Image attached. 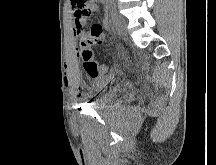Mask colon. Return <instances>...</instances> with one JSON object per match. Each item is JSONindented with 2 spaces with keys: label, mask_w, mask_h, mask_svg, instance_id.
I'll return each instance as SVG.
<instances>
[{
  "label": "colon",
  "mask_w": 216,
  "mask_h": 165,
  "mask_svg": "<svg viewBox=\"0 0 216 165\" xmlns=\"http://www.w3.org/2000/svg\"><path fill=\"white\" fill-rule=\"evenodd\" d=\"M71 2L76 8V5H86L87 0H71ZM103 38V27L101 24L96 23L90 28L87 34V40L81 42L80 46V57L84 62V66L98 75L106 72L108 66L95 62L91 46L94 44H100L103 41Z\"/></svg>",
  "instance_id": "5ec220e1"
}]
</instances>
